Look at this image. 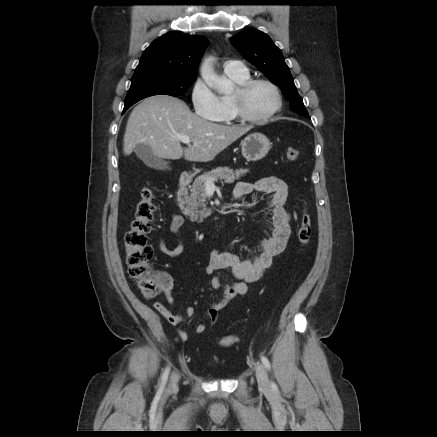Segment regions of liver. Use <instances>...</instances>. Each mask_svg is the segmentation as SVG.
<instances>
[{
    "mask_svg": "<svg viewBox=\"0 0 437 437\" xmlns=\"http://www.w3.org/2000/svg\"><path fill=\"white\" fill-rule=\"evenodd\" d=\"M251 128L210 122L192 113L180 99L156 95L144 99L131 112L123 152L130 155L137 144L143 143L159 158L209 162ZM177 135L189 137L192 145L182 148Z\"/></svg>",
    "mask_w": 437,
    "mask_h": 437,
    "instance_id": "liver-1",
    "label": "liver"
}]
</instances>
